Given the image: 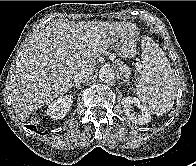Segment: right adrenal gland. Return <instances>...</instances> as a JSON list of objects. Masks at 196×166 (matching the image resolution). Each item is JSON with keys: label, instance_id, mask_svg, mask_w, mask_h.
Masks as SVG:
<instances>
[{"label": "right adrenal gland", "instance_id": "1", "mask_svg": "<svg viewBox=\"0 0 196 166\" xmlns=\"http://www.w3.org/2000/svg\"><path fill=\"white\" fill-rule=\"evenodd\" d=\"M72 87H76L78 89L82 88V86L80 84H71L70 88Z\"/></svg>", "mask_w": 196, "mask_h": 166}]
</instances>
